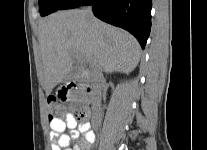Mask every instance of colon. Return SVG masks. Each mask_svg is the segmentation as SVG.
<instances>
[{
	"instance_id": "5ec220e1",
	"label": "colon",
	"mask_w": 207,
	"mask_h": 150,
	"mask_svg": "<svg viewBox=\"0 0 207 150\" xmlns=\"http://www.w3.org/2000/svg\"><path fill=\"white\" fill-rule=\"evenodd\" d=\"M48 116L49 120L61 118L66 114L67 107L59 98L52 96L48 99ZM80 119L84 118L83 113H78Z\"/></svg>"
}]
</instances>
